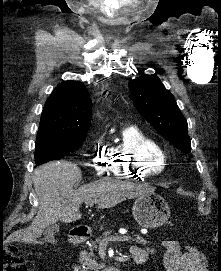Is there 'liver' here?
<instances>
[{"instance_id":"1","label":"liver","mask_w":221,"mask_h":271,"mask_svg":"<svg viewBox=\"0 0 221 271\" xmlns=\"http://www.w3.org/2000/svg\"><path fill=\"white\" fill-rule=\"evenodd\" d=\"M82 173L77 163L58 159L48 161L36 167L33 175L35 193L39 199V209L29 227L18 229L11 235L12 241L25 243H41L37 241L42 231L56 221L71 223L81 219L82 201L91 197H99L97 207H114L126 197H138L141 187H135L130 181L101 177L79 189H73L74 183L79 181Z\"/></svg>"}]
</instances>
